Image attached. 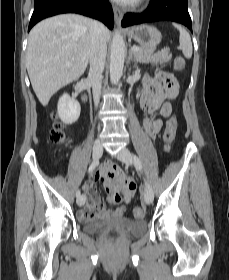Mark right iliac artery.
<instances>
[{"label":"right iliac artery","instance_id":"right-iliac-artery-1","mask_svg":"<svg viewBox=\"0 0 229 280\" xmlns=\"http://www.w3.org/2000/svg\"><path fill=\"white\" fill-rule=\"evenodd\" d=\"M98 164H99V161L98 160H94L92 162V164L89 166L88 173H93V171L96 169ZM80 196H81V192H80V190H77L76 191V197L79 198Z\"/></svg>","mask_w":229,"mask_h":280}]
</instances>
